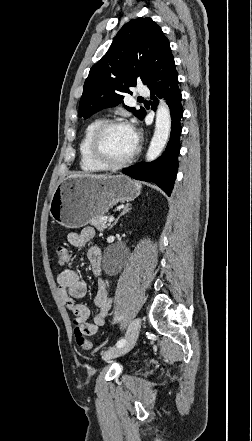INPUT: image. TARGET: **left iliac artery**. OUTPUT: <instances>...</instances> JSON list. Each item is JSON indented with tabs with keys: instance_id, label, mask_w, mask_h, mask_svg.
Segmentation results:
<instances>
[{
	"instance_id": "obj_1",
	"label": "left iliac artery",
	"mask_w": 252,
	"mask_h": 441,
	"mask_svg": "<svg viewBox=\"0 0 252 441\" xmlns=\"http://www.w3.org/2000/svg\"><path fill=\"white\" fill-rule=\"evenodd\" d=\"M121 318H122V317L118 318V320H120ZM124 343H125V339H124V338H121V339L117 342L116 346H117V347H121V346L124 345Z\"/></svg>"
}]
</instances>
